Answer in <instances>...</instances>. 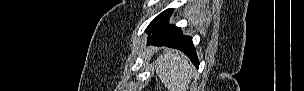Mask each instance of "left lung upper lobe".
Segmentation results:
<instances>
[{
	"label": "left lung upper lobe",
	"instance_id": "obj_1",
	"mask_svg": "<svg viewBox=\"0 0 304 91\" xmlns=\"http://www.w3.org/2000/svg\"><path fill=\"white\" fill-rule=\"evenodd\" d=\"M159 16V15H158ZM158 16L149 24V26L146 28V31L154 24Z\"/></svg>",
	"mask_w": 304,
	"mask_h": 91
}]
</instances>
